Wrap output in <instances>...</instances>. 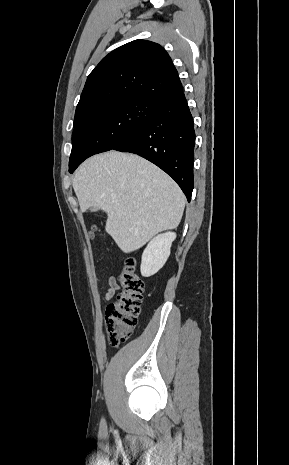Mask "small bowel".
I'll use <instances>...</instances> for the list:
<instances>
[{"mask_svg": "<svg viewBox=\"0 0 289 465\" xmlns=\"http://www.w3.org/2000/svg\"><path fill=\"white\" fill-rule=\"evenodd\" d=\"M118 288V285L116 283V280L114 277H110L108 279V290L106 292V299L109 300L111 299L114 294H115V291L117 290Z\"/></svg>", "mask_w": 289, "mask_h": 465, "instance_id": "c3829d8e", "label": "small bowel"}]
</instances>
